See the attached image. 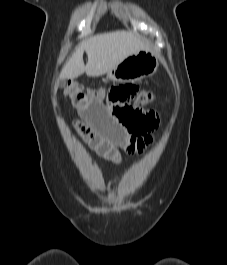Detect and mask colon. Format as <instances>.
Returning <instances> with one entry per match:
<instances>
[{"label":"colon","mask_w":227,"mask_h":265,"mask_svg":"<svg viewBox=\"0 0 227 265\" xmlns=\"http://www.w3.org/2000/svg\"><path fill=\"white\" fill-rule=\"evenodd\" d=\"M65 94L70 99L72 96H83V99L88 100L103 96L101 91L87 89L78 82L69 83ZM107 100L114 117L131 134L145 135L158 127L159 121L156 112L145 110V107L155 100V94L152 91L140 90L134 84H117L109 88Z\"/></svg>","instance_id":"obj_1"}]
</instances>
